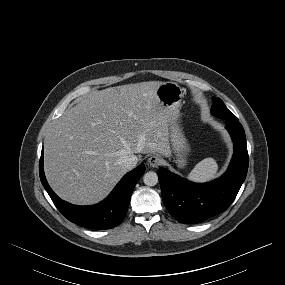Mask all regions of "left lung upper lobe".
Here are the masks:
<instances>
[{
    "instance_id": "obj_1",
    "label": "left lung upper lobe",
    "mask_w": 285,
    "mask_h": 285,
    "mask_svg": "<svg viewBox=\"0 0 285 285\" xmlns=\"http://www.w3.org/2000/svg\"><path fill=\"white\" fill-rule=\"evenodd\" d=\"M212 100L213 105L211 108V113L214 116L226 121L239 122L236 116L226 108L221 99L213 98Z\"/></svg>"
}]
</instances>
